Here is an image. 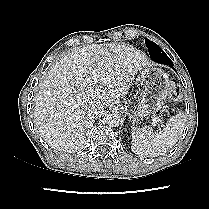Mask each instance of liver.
Wrapping results in <instances>:
<instances>
[{"label":"liver","mask_w":209,"mask_h":209,"mask_svg":"<svg viewBox=\"0 0 209 209\" xmlns=\"http://www.w3.org/2000/svg\"><path fill=\"white\" fill-rule=\"evenodd\" d=\"M147 65L137 50L120 44H92L62 58L35 98L34 120L42 139L61 152L81 150L93 112L101 115L105 106L124 97L134 75Z\"/></svg>","instance_id":"6515ba94"}]
</instances>
